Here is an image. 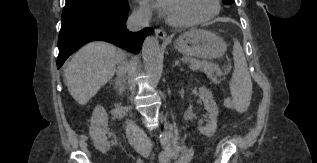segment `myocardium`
Returning a JSON list of instances; mask_svg holds the SVG:
<instances>
[{"mask_svg":"<svg viewBox=\"0 0 317 163\" xmlns=\"http://www.w3.org/2000/svg\"><path fill=\"white\" fill-rule=\"evenodd\" d=\"M220 11V0H212V10L211 12L201 18L187 21V22H179L171 19L166 13H164V19L167 24L176 28H190L194 26H198L200 24L206 23L214 19Z\"/></svg>","mask_w":317,"mask_h":163,"instance_id":"obj_1","label":"myocardium"}]
</instances>
